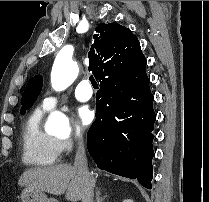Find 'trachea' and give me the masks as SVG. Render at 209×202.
Masks as SVG:
<instances>
[{
	"mask_svg": "<svg viewBox=\"0 0 209 202\" xmlns=\"http://www.w3.org/2000/svg\"><path fill=\"white\" fill-rule=\"evenodd\" d=\"M89 80H90V82H91V84L94 88H98V84H97V82H96V80L94 79L93 76H90Z\"/></svg>",
	"mask_w": 209,
	"mask_h": 202,
	"instance_id": "obj_1",
	"label": "trachea"
}]
</instances>
